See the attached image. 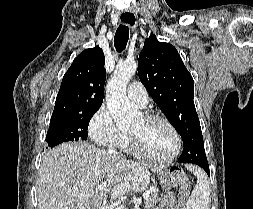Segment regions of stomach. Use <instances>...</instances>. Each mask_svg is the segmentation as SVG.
Returning a JSON list of instances; mask_svg holds the SVG:
<instances>
[{"instance_id":"obj_1","label":"stomach","mask_w":253,"mask_h":209,"mask_svg":"<svg viewBox=\"0 0 253 209\" xmlns=\"http://www.w3.org/2000/svg\"><path fill=\"white\" fill-rule=\"evenodd\" d=\"M168 175H169V172L166 171V168H162L160 170V174H159V177H158V182H161L160 183V188H165V182H167L168 180ZM149 183V182H148Z\"/></svg>"}]
</instances>
